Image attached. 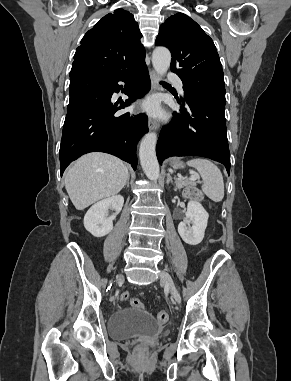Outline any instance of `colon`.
<instances>
[{"instance_id": "colon-1", "label": "colon", "mask_w": 291, "mask_h": 381, "mask_svg": "<svg viewBox=\"0 0 291 381\" xmlns=\"http://www.w3.org/2000/svg\"><path fill=\"white\" fill-rule=\"evenodd\" d=\"M185 194L187 197H189L191 199H197L200 196V192L194 187L187 188L185 190ZM120 299L122 301H128L129 300L130 304L135 308H142L143 307L142 302L138 298H135V297L130 298V295L127 292L121 293ZM168 318H169L168 312L165 310H161V311L157 312V314H156V320L160 324H165L168 321ZM139 351L144 352V348L140 347Z\"/></svg>"}]
</instances>
